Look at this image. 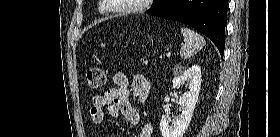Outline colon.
Wrapping results in <instances>:
<instances>
[{
	"label": "colon",
	"instance_id": "5ec220e1",
	"mask_svg": "<svg viewBox=\"0 0 280 137\" xmlns=\"http://www.w3.org/2000/svg\"><path fill=\"white\" fill-rule=\"evenodd\" d=\"M106 82L105 71L100 67L90 68L86 73V85L89 90L97 91Z\"/></svg>",
	"mask_w": 280,
	"mask_h": 137
}]
</instances>
